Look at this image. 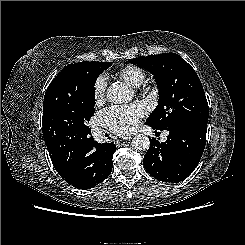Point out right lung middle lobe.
I'll return each mask as SVG.
<instances>
[{
	"mask_svg": "<svg viewBox=\"0 0 245 245\" xmlns=\"http://www.w3.org/2000/svg\"><path fill=\"white\" fill-rule=\"evenodd\" d=\"M74 65L86 101L83 113L75 124V132L78 134H90L91 130L87 126V122L95 112V81L105 69L111 66V62L86 61L74 63Z\"/></svg>",
	"mask_w": 245,
	"mask_h": 245,
	"instance_id": "dd1d6c3e",
	"label": "right lung middle lobe"
}]
</instances>
